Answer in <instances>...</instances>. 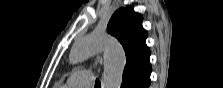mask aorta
I'll use <instances>...</instances> for the list:
<instances>
[{
  "instance_id": "1",
  "label": "aorta",
  "mask_w": 223,
  "mask_h": 88,
  "mask_svg": "<svg viewBox=\"0 0 223 88\" xmlns=\"http://www.w3.org/2000/svg\"><path fill=\"white\" fill-rule=\"evenodd\" d=\"M103 51L104 59V88H120L126 56L122 46L108 35L92 33L73 45L70 52V62H82L97 52Z\"/></svg>"
}]
</instances>
